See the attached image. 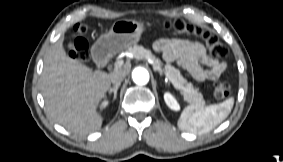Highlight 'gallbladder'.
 <instances>
[{
    "label": "gallbladder",
    "instance_id": "1",
    "mask_svg": "<svg viewBox=\"0 0 283 162\" xmlns=\"http://www.w3.org/2000/svg\"><path fill=\"white\" fill-rule=\"evenodd\" d=\"M71 47H72V44H71V43H69V44H68V48H71Z\"/></svg>",
    "mask_w": 283,
    "mask_h": 162
}]
</instances>
